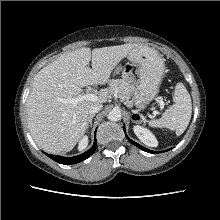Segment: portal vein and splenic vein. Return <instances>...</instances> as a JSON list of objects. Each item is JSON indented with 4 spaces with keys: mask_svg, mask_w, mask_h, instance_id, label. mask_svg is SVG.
<instances>
[{
    "mask_svg": "<svg viewBox=\"0 0 220 220\" xmlns=\"http://www.w3.org/2000/svg\"><path fill=\"white\" fill-rule=\"evenodd\" d=\"M97 99H98L97 95H95L93 93H88V94L80 95V96H78L76 98L67 99L64 102L76 105L78 102H81V101H85V100L96 101ZM159 104H160L161 108L164 107V103H163L162 100L159 101Z\"/></svg>",
    "mask_w": 220,
    "mask_h": 220,
    "instance_id": "18ae733b",
    "label": "portal vein and splenic vein"
}]
</instances>
